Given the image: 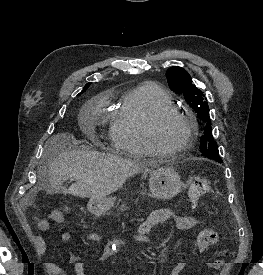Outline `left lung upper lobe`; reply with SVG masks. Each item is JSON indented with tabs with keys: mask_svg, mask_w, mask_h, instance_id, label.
Returning <instances> with one entry per match:
<instances>
[{
	"mask_svg": "<svg viewBox=\"0 0 263 275\" xmlns=\"http://www.w3.org/2000/svg\"><path fill=\"white\" fill-rule=\"evenodd\" d=\"M168 85L176 94H182L204 122V133L200 138V152L210 159L221 162L217 143L212 135L209 107L205 95L192 83L191 76L182 67H171L166 72Z\"/></svg>",
	"mask_w": 263,
	"mask_h": 275,
	"instance_id": "1",
	"label": "left lung upper lobe"
}]
</instances>
